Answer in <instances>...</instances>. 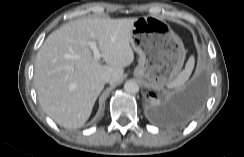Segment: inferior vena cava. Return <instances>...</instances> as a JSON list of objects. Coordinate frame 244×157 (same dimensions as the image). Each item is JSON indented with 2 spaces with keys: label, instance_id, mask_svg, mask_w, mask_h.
I'll list each match as a JSON object with an SVG mask.
<instances>
[{
  "label": "inferior vena cava",
  "instance_id": "602c4592",
  "mask_svg": "<svg viewBox=\"0 0 244 157\" xmlns=\"http://www.w3.org/2000/svg\"><path fill=\"white\" fill-rule=\"evenodd\" d=\"M101 80L104 82V83H108L110 80H111V75L108 74V73H105L101 76Z\"/></svg>",
  "mask_w": 244,
  "mask_h": 157
}]
</instances>
